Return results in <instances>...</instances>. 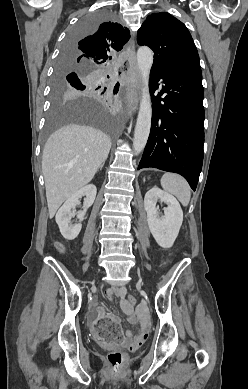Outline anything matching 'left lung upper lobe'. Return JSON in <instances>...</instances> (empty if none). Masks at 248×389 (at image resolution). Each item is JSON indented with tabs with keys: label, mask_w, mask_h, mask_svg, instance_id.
<instances>
[{
	"label": "left lung upper lobe",
	"mask_w": 248,
	"mask_h": 389,
	"mask_svg": "<svg viewBox=\"0 0 248 389\" xmlns=\"http://www.w3.org/2000/svg\"><path fill=\"white\" fill-rule=\"evenodd\" d=\"M137 42L153 50L152 67L163 70L200 67L199 55L188 29L169 13L149 15L138 30Z\"/></svg>",
	"instance_id": "5c2ea615"
}]
</instances>
